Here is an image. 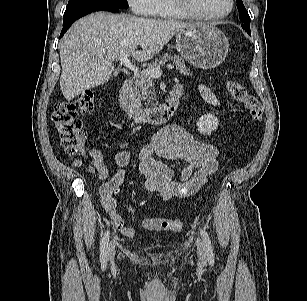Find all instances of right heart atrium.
<instances>
[{
  "instance_id": "1",
  "label": "right heart atrium",
  "mask_w": 307,
  "mask_h": 301,
  "mask_svg": "<svg viewBox=\"0 0 307 301\" xmlns=\"http://www.w3.org/2000/svg\"><path fill=\"white\" fill-rule=\"evenodd\" d=\"M132 11L142 16H156L159 12V0H127Z\"/></svg>"
}]
</instances>
